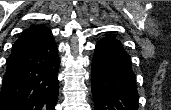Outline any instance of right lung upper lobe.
<instances>
[{"label":"right lung upper lobe","instance_id":"1","mask_svg":"<svg viewBox=\"0 0 171 110\" xmlns=\"http://www.w3.org/2000/svg\"><path fill=\"white\" fill-rule=\"evenodd\" d=\"M50 32L51 30L44 25H32L14 43L10 57L14 51L44 38Z\"/></svg>","mask_w":171,"mask_h":110}]
</instances>
